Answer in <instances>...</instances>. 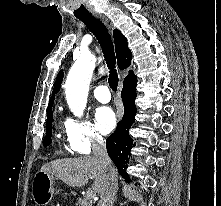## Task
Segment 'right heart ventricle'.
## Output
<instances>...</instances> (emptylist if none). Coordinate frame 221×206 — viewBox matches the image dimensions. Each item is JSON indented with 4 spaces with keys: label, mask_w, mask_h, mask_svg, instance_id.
Returning a JSON list of instances; mask_svg holds the SVG:
<instances>
[{
    "label": "right heart ventricle",
    "mask_w": 221,
    "mask_h": 206,
    "mask_svg": "<svg viewBox=\"0 0 221 206\" xmlns=\"http://www.w3.org/2000/svg\"><path fill=\"white\" fill-rule=\"evenodd\" d=\"M61 128L68 133V121L64 122L63 125L61 126Z\"/></svg>",
    "instance_id": "right-heart-ventricle-1"
}]
</instances>
